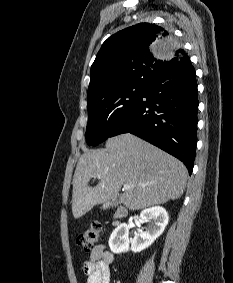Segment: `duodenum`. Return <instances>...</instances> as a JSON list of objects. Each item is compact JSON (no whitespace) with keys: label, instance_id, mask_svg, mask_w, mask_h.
I'll use <instances>...</instances> for the list:
<instances>
[{"label":"duodenum","instance_id":"1","mask_svg":"<svg viewBox=\"0 0 233 283\" xmlns=\"http://www.w3.org/2000/svg\"><path fill=\"white\" fill-rule=\"evenodd\" d=\"M128 214L127 209L124 207H118L116 209V212L114 214V224H119L120 220L124 217H126Z\"/></svg>","mask_w":233,"mask_h":283}]
</instances>
